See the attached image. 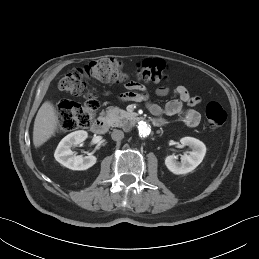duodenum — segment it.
Returning <instances> with one entry per match:
<instances>
[{"label":"duodenum","instance_id":"obj_1","mask_svg":"<svg viewBox=\"0 0 259 259\" xmlns=\"http://www.w3.org/2000/svg\"><path fill=\"white\" fill-rule=\"evenodd\" d=\"M129 118L134 124H138L141 119L134 113L129 114ZM152 123L155 126H161L164 124V121L162 119H154ZM108 129V123L105 118L99 117L97 118L93 124H92V131L96 134H105Z\"/></svg>","mask_w":259,"mask_h":259}]
</instances>
